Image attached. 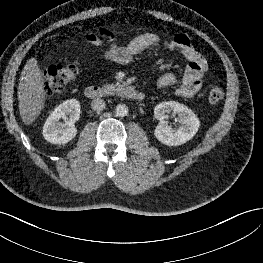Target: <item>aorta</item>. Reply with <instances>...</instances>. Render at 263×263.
<instances>
[{
  "instance_id": "aorta-1",
  "label": "aorta",
  "mask_w": 263,
  "mask_h": 263,
  "mask_svg": "<svg viewBox=\"0 0 263 263\" xmlns=\"http://www.w3.org/2000/svg\"><path fill=\"white\" fill-rule=\"evenodd\" d=\"M115 112L117 116L124 117L128 114V107L125 104H118Z\"/></svg>"
}]
</instances>
